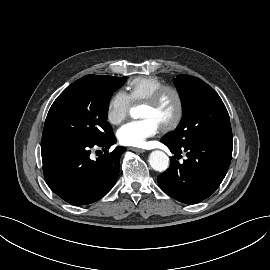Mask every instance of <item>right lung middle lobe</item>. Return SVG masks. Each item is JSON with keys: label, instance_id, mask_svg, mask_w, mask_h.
Listing matches in <instances>:
<instances>
[{"label": "right lung middle lobe", "instance_id": "dd1d6c3e", "mask_svg": "<svg viewBox=\"0 0 270 270\" xmlns=\"http://www.w3.org/2000/svg\"><path fill=\"white\" fill-rule=\"evenodd\" d=\"M126 77L86 75L67 87L52 104L42 140L57 139L97 144L112 134L107 122L114 91Z\"/></svg>", "mask_w": 270, "mask_h": 270}]
</instances>
